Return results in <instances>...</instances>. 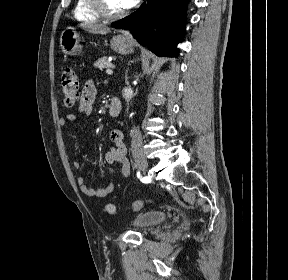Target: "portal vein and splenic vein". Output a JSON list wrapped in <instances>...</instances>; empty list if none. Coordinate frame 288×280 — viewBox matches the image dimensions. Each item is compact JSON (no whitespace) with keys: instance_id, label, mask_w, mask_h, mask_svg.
Returning <instances> with one entry per match:
<instances>
[{"instance_id":"18ae733b","label":"portal vein and splenic vein","mask_w":288,"mask_h":280,"mask_svg":"<svg viewBox=\"0 0 288 280\" xmlns=\"http://www.w3.org/2000/svg\"><path fill=\"white\" fill-rule=\"evenodd\" d=\"M111 68H114V66H110V68H108V69L106 70V73H107L108 75H112V74H113V71H112Z\"/></svg>"}]
</instances>
